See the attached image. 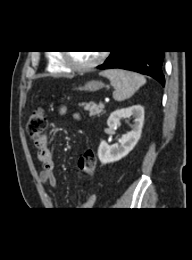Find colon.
<instances>
[{
	"label": "colon",
	"instance_id": "colon-1",
	"mask_svg": "<svg viewBox=\"0 0 192 260\" xmlns=\"http://www.w3.org/2000/svg\"><path fill=\"white\" fill-rule=\"evenodd\" d=\"M46 124L47 121L43 110L36 109L30 114L27 122V133L34 143H38L42 139ZM78 168L82 175L90 177L94 174L96 157L93 151L87 150L84 152L79 159Z\"/></svg>",
	"mask_w": 192,
	"mask_h": 260
}]
</instances>
